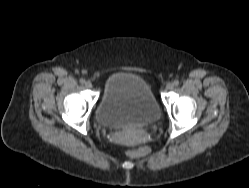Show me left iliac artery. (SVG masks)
Returning a JSON list of instances; mask_svg holds the SVG:
<instances>
[{"label": "left iliac artery", "mask_w": 249, "mask_h": 188, "mask_svg": "<svg viewBox=\"0 0 249 188\" xmlns=\"http://www.w3.org/2000/svg\"><path fill=\"white\" fill-rule=\"evenodd\" d=\"M173 84H174V86H178V85H179V81H178V80H175V81L173 82Z\"/></svg>", "instance_id": "44dca946"}]
</instances>
